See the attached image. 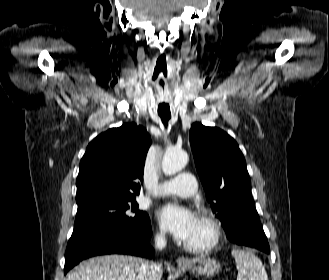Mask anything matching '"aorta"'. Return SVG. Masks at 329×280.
<instances>
[{
  "label": "aorta",
  "mask_w": 329,
  "mask_h": 280,
  "mask_svg": "<svg viewBox=\"0 0 329 280\" xmlns=\"http://www.w3.org/2000/svg\"><path fill=\"white\" fill-rule=\"evenodd\" d=\"M188 162V154L179 149L169 148L162 160V170L165 175H174L181 171Z\"/></svg>",
  "instance_id": "1"
}]
</instances>
